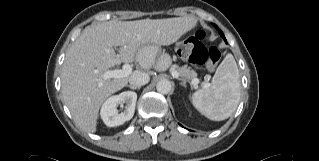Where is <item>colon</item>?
I'll use <instances>...</instances> for the list:
<instances>
[{"instance_id":"obj_1","label":"colon","mask_w":319,"mask_h":161,"mask_svg":"<svg viewBox=\"0 0 319 161\" xmlns=\"http://www.w3.org/2000/svg\"><path fill=\"white\" fill-rule=\"evenodd\" d=\"M204 38V30L199 29L180 41L176 47L178 56L193 65L215 66L221 58V52L216 46L205 47L202 43Z\"/></svg>"}]
</instances>
